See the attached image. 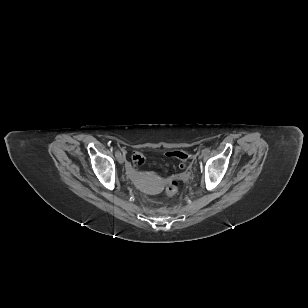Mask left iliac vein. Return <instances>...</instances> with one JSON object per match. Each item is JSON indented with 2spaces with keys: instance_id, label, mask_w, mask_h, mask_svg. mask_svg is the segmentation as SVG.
Returning <instances> with one entry per match:
<instances>
[{
  "instance_id": "1",
  "label": "left iliac vein",
  "mask_w": 308,
  "mask_h": 308,
  "mask_svg": "<svg viewBox=\"0 0 308 308\" xmlns=\"http://www.w3.org/2000/svg\"><path fill=\"white\" fill-rule=\"evenodd\" d=\"M206 154H207V152H206L205 150H203L202 153H201V155H200V158L203 157V156L206 155Z\"/></svg>"
}]
</instances>
